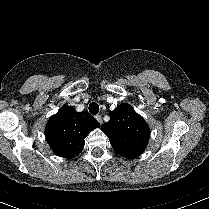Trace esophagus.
<instances>
[{"label": "esophagus", "instance_id": "1", "mask_svg": "<svg viewBox=\"0 0 209 209\" xmlns=\"http://www.w3.org/2000/svg\"><path fill=\"white\" fill-rule=\"evenodd\" d=\"M96 119L98 120V122H99L100 124H102L103 120H102L101 115H96Z\"/></svg>", "mask_w": 209, "mask_h": 209}]
</instances>
